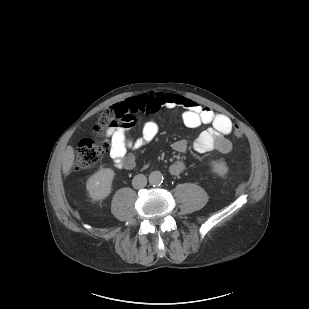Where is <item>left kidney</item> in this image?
Wrapping results in <instances>:
<instances>
[{
    "mask_svg": "<svg viewBox=\"0 0 309 309\" xmlns=\"http://www.w3.org/2000/svg\"><path fill=\"white\" fill-rule=\"evenodd\" d=\"M213 171L219 176H224L228 172V167L224 162H213Z\"/></svg>",
    "mask_w": 309,
    "mask_h": 309,
    "instance_id": "left-kidney-1",
    "label": "left kidney"
}]
</instances>
